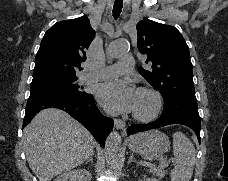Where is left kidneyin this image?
<instances>
[{
    "label": "left kidney",
    "instance_id": "left-kidney-1",
    "mask_svg": "<svg viewBox=\"0 0 228 181\" xmlns=\"http://www.w3.org/2000/svg\"><path fill=\"white\" fill-rule=\"evenodd\" d=\"M147 181H156V179H147Z\"/></svg>",
    "mask_w": 228,
    "mask_h": 181
}]
</instances>
